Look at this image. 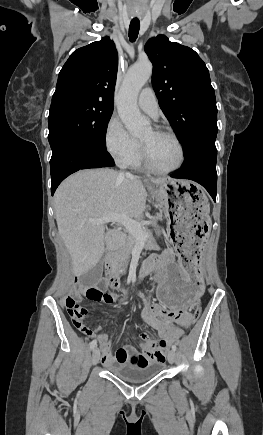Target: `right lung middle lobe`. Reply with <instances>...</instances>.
<instances>
[{
	"instance_id": "1",
	"label": "right lung middle lobe",
	"mask_w": 263,
	"mask_h": 435,
	"mask_svg": "<svg viewBox=\"0 0 263 435\" xmlns=\"http://www.w3.org/2000/svg\"><path fill=\"white\" fill-rule=\"evenodd\" d=\"M113 105L75 101L50 107L48 140L55 153L63 142L77 141L105 148V135Z\"/></svg>"
}]
</instances>
